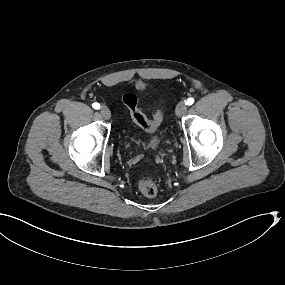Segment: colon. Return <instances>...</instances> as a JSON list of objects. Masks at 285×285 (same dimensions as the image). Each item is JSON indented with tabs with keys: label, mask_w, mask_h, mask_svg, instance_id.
Listing matches in <instances>:
<instances>
[{
	"label": "colon",
	"mask_w": 285,
	"mask_h": 285,
	"mask_svg": "<svg viewBox=\"0 0 285 285\" xmlns=\"http://www.w3.org/2000/svg\"><path fill=\"white\" fill-rule=\"evenodd\" d=\"M122 102L129 109L133 121L144 130L153 132L161 125L163 114L157 112L152 119H148L137 107V97L133 93L124 94L122 96ZM138 188L140 192L147 197H154L158 193V184L152 178L139 181Z\"/></svg>",
	"instance_id": "5ec220e1"
}]
</instances>
